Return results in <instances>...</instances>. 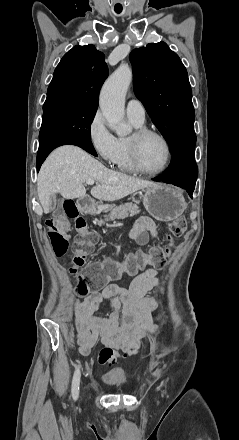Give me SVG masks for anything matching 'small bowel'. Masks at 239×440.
I'll return each instance as SVG.
<instances>
[{
    "instance_id": "1",
    "label": "small bowel",
    "mask_w": 239,
    "mask_h": 440,
    "mask_svg": "<svg viewBox=\"0 0 239 440\" xmlns=\"http://www.w3.org/2000/svg\"><path fill=\"white\" fill-rule=\"evenodd\" d=\"M156 235V226L148 217L139 218L131 231V237L141 245ZM158 284L157 270L149 268L136 276L128 289L111 284L101 292L92 291L83 300H77L74 324L79 352L88 355L97 343H101L107 349L123 352L122 355L115 351L112 362L123 356L136 354L141 340L154 334L158 330L156 322L162 319L161 314L156 318L152 317L158 301L146 297V293ZM105 300L111 303L112 312L108 317L94 316Z\"/></svg>"
}]
</instances>
